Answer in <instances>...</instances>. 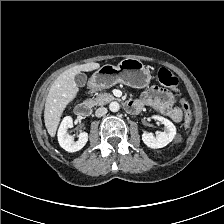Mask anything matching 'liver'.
<instances>
[{"label": "liver", "mask_w": 224, "mask_h": 224, "mask_svg": "<svg viewBox=\"0 0 224 224\" xmlns=\"http://www.w3.org/2000/svg\"><path fill=\"white\" fill-rule=\"evenodd\" d=\"M99 67L100 65L94 62L77 65L64 71L53 82L46 98L44 110L45 126L51 137L56 134L63 111L79 91L74 80L75 76L81 71L89 72Z\"/></svg>", "instance_id": "6515ba94"}]
</instances>
